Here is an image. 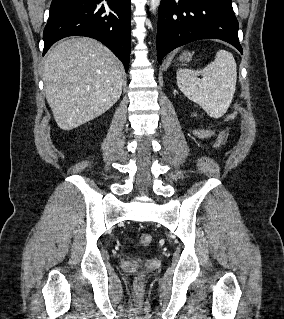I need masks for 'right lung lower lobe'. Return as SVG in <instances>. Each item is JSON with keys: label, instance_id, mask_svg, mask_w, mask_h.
Instances as JSON below:
<instances>
[{"label": "right lung lower lobe", "instance_id": "1", "mask_svg": "<svg viewBox=\"0 0 284 319\" xmlns=\"http://www.w3.org/2000/svg\"><path fill=\"white\" fill-rule=\"evenodd\" d=\"M130 0H52L43 55L56 41L81 35L106 45L124 64L130 57Z\"/></svg>", "mask_w": 284, "mask_h": 319}]
</instances>
